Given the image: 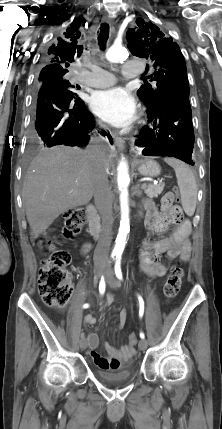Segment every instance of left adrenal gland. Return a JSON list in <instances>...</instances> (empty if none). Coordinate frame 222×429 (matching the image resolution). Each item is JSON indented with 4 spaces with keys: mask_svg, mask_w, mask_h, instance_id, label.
<instances>
[{
    "mask_svg": "<svg viewBox=\"0 0 222 429\" xmlns=\"http://www.w3.org/2000/svg\"><path fill=\"white\" fill-rule=\"evenodd\" d=\"M134 194L140 197L142 195V191L140 190V183H138L134 189Z\"/></svg>",
    "mask_w": 222,
    "mask_h": 429,
    "instance_id": "1",
    "label": "left adrenal gland"
}]
</instances>
